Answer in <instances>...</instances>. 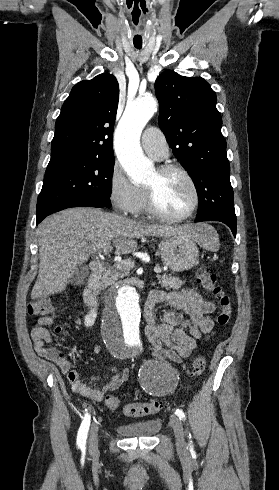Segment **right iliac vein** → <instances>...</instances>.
I'll return each mask as SVG.
<instances>
[{
    "label": "right iliac vein",
    "instance_id": "right-iliac-vein-1",
    "mask_svg": "<svg viewBox=\"0 0 279 490\" xmlns=\"http://www.w3.org/2000/svg\"><path fill=\"white\" fill-rule=\"evenodd\" d=\"M89 452L91 454H96L98 450V424L94 423L92 425L90 435H89Z\"/></svg>",
    "mask_w": 279,
    "mask_h": 490
}]
</instances>
